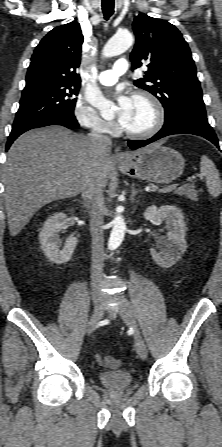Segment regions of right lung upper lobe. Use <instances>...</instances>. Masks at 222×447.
<instances>
[{
	"label": "right lung upper lobe",
	"instance_id": "obj_1",
	"mask_svg": "<svg viewBox=\"0 0 222 447\" xmlns=\"http://www.w3.org/2000/svg\"><path fill=\"white\" fill-rule=\"evenodd\" d=\"M83 40L80 24L76 21L52 29L34 50L25 88L80 85L76 69L80 65Z\"/></svg>",
	"mask_w": 222,
	"mask_h": 447
}]
</instances>
